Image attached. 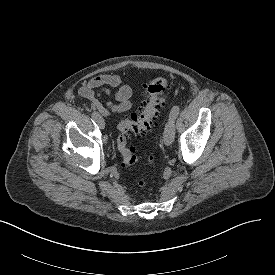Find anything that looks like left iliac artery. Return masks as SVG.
Wrapping results in <instances>:
<instances>
[{"label": "left iliac artery", "instance_id": "left-iliac-artery-1", "mask_svg": "<svg viewBox=\"0 0 275 275\" xmlns=\"http://www.w3.org/2000/svg\"><path fill=\"white\" fill-rule=\"evenodd\" d=\"M180 108L178 106H174L170 112L169 118L176 119L179 115Z\"/></svg>", "mask_w": 275, "mask_h": 275}]
</instances>
